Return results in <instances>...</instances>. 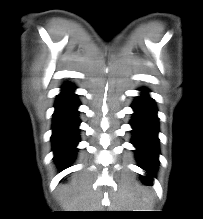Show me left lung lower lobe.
<instances>
[{
    "mask_svg": "<svg viewBox=\"0 0 203 219\" xmlns=\"http://www.w3.org/2000/svg\"><path fill=\"white\" fill-rule=\"evenodd\" d=\"M144 92L141 96L136 97L132 108L134 114L130 122L133 127L132 144L137 148L135 150L136 159L142 169L150 175L155 176V171L158 166V117L157 108L154 100L145 92L147 89H141ZM145 181L150 182L146 177Z\"/></svg>",
    "mask_w": 203,
    "mask_h": 219,
    "instance_id": "obj_1",
    "label": "left lung lower lobe"
}]
</instances>
